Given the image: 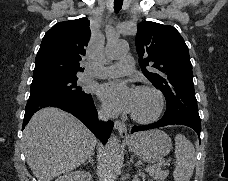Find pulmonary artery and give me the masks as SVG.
Returning <instances> with one entry per match:
<instances>
[{"label": "pulmonary artery", "mask_w": 228, "mask_h": 181, "mask_svg": "<svg viewBox=\"0 0 228 181\" xmlns=\"http://www.w3.org/2000/svg\"><path fill=\"white\" fill-rule=\"evenodd\" d=\"M121 61L123 62L122 65H112V67L106 68L104 70V74L111 75L112 73L117 72L118 70L135 71V66H134L135 64L134 62H131L132 61L131 57L121 58Z\"/></svg>", "instance_id": "1"}]
</instances>
